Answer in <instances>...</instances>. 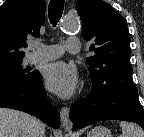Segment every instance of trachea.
I'll use <instances>...</instances> for the list:
<instances>
[{
	"mask_svg": "<svg viewBox=\"0 0 144 137\" xmlns=\"http://www.w3.org/2000/svg\"><path fill=\"white\" fill-rule=\"evenodd\" d=\"M65 0H50L48 7L49 20L53 26L62 16Z\"/></svg>",
	"mask_w": 144,
	"mask_h": 137,
	"instance_id": "3493384b",
	"label": "trachea"
}]
</instances>
